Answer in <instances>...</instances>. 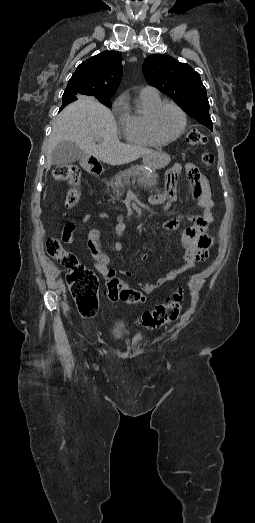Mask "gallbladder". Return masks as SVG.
<instances>
[{"mask_svg": "<svg viewBox=\"0 0 255 523\" xmlns=\"http://www.w3.org/2000/svg\"><path fill=\"white\" fill-rule=\"evenodd\" d=\"M87 156L83 150H80L79 146L75 142L70 140H64L55 146L52 150L51 162L53 166H71L72 162H77Z\"/></svg>", "mask_w": 255, "mask_h": 523, "instance_id": "gallbladder-1", "label": "gallbladder"}]
</instances>
